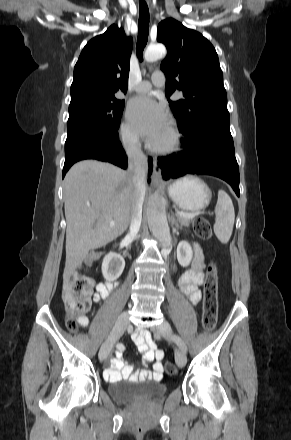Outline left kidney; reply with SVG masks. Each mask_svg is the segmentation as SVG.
<instances>
[{
  "label": "left kidney",
  "mask_w": 291,
  "mask_h": 440,
  "mask_svg": "<svg viewBox=\"0 0 291 440\" xmlns=\"http://www.w3.org/2000/svg\"><path fill=\"white\" fill-rule=\"evenodd\" d=\"M193 251L187 241H181L177 246V259L182 267L189 266L192 260Z\"/></svg>",
  "instance_id": "left-kidney-1"
}]
</instances>
